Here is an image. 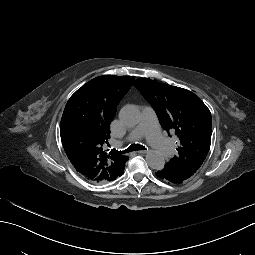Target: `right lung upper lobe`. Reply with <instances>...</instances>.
Segmentation results:
<instances>
[{
  "mask_svg": "<svg viewBox=\"0 0 255 255\" xmlns=\"http://www.w3.org/2000/svg\"><path fill=\"white\" fill-rule=\"evenodd\" d=\"M134 77H96L69 99L64 109L60 134L64 150L75 169L88 181L105 184L124 172L128 157L105 150L120 100L131 88Z\"/></svg>",
  "mask_w": 255,
  "mask_h": 255,
  "instance_id": "right-lung-upper-lobe-1",
  "label": "right lung upper lobe"
}]
</instances>
